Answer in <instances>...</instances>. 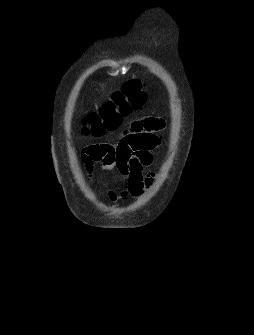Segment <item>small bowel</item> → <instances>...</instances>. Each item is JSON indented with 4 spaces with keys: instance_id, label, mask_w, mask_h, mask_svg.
<instances>
[{
    "instance_id": "obj_1",
    "label": "small bowel",
    "mask_w": 254,
    "mask_h": 335,
    "mask_svg": "<svg viewBox=\"0 0 254 335\" xmlns=\"http://www.w3.org/2000/svg\"><path fill=\"white\" fill-rule=\"evenodd\" d=\"M160 124L155 119H145L135 125L129 131L122 128L117 146L109 144H96L83 150L82 160L86 172L92 175L94 164L101 162L106 172L117 170L119 174L128 180V184L122 196L124 198L137 197L144 187L152 180L151 175L144 177L143 169L153 163L152 152L160 146L161 138L157 135ZM109 196L115 199L117 193L110 191Z\"/></svg>"
}]
</instances>
